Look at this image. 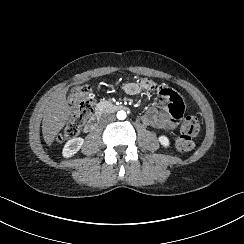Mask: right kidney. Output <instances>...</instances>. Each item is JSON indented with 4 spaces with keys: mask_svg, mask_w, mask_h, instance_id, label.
<instances>
[{
    "mask_svg": "<svg viewBox=\"0 0 244 244\" xmlns=\"http://www.w3.org/2000/svg\"><path fill=\"white\" fill-rule=\"evenodd\" d=\"M83 143L84 139L82 137H76L68 140L63 146L61 153L62 157L69 159L75 156L82 148Z\"/></svg>",
    "mask_w": 244,
    "mask_h": 244,
    "instance_id": "ca27d5eb",
    "label": "right kidney"
}]
</instances>
